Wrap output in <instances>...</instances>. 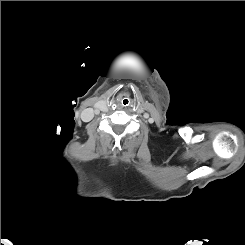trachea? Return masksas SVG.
<instances>
[{"label":"trachea","mask_w":245,"mask_h":245,"mask_svg":"<svg viewBox=\"0 0 245 245\" xmlns=\"http://www.w3.org/2000/svg\"><path fill=\"white\" fill-rule=\"evenodd\" d=\"M130 103H131V100H130V98H128V97H124V98L121 100V105H122L123 107L129 106Z\"/></svg>","instance_id":"3493384b"}]
</instances>
